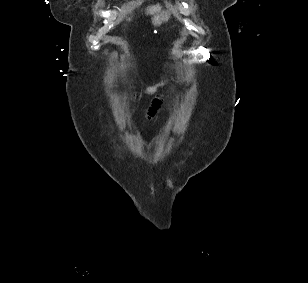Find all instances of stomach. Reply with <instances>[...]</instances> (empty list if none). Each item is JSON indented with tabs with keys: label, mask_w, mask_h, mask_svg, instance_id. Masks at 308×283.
Listing matches in <instances>:
<instances>
[{
	"label": "stomach",
	"mask_w": 308,
	"mask_h": 283,
	"mask_svg": "<svg viewBox=\"0 0 308 283\" xmlns=\"http://www.w3.org/2000/svg\"><path fill=\"white\" fill-rule=\"evenodd\" d=\"M170 18V12L160 11L156 13L152 18V24L154 27H159L162 23L167 22Z\"/></svg>",
	"instance_id": "stomach-1"
}]
</instances>
